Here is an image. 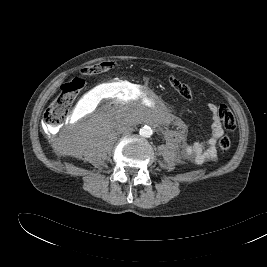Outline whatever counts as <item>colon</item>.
Segmentation results:
<instances>
[{
  "label": "colon",
  "instance_id": "colon-1",
  "mask_svg": "<svg viewBox=\"0 0 267 267\" xmlns=\"http://www.w3.org/2000/svg\"><path fill=\"white\" fill-rule=\"evenodd\" d=\"M108 64H93L84 69L87 75L97 74L103 71ZM169 85L185 100L192 98V90L189 85L180 81L176 77L169 78ZM84 87V81L81 78H74L68 83H65L58 96L48 106L44 114V122L48 127H55L62 123L68 115L69 108L74 102L76 96ZM219 115L222 123L228 130H234L236 127L235 117L232 111L226 105L219 106ZM219 148L222 152H226L231 147V140L228 136L224 135L219 140Z\"/></svg>",
  "mask_w": 267,
  "mask_h": 267
}]
</instances>
